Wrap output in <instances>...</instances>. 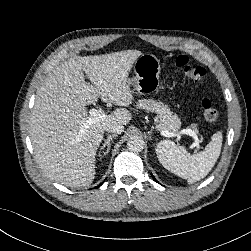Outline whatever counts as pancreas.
Here are the masks:
<instances>
[{
  "label": "pancreas",
  "instance_id": "cf45deb5",
  "mask_svg": "<svg viewBox=\"0 0 251 251\" xmlns=\"http://www.w3.org/2000/svg\"><path fill=\"white\" fill-rule=\"evenodd\" d=\"M137 108L145 109L157 114L159 118V131H168L170 133H177L181 127L180 119L173 115L167 105L153 99H142L137 103Z\"/></svg>",
  "mask_w": 251,
  "mask_h": 251
}]
</instances>
